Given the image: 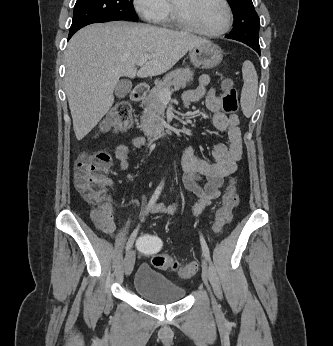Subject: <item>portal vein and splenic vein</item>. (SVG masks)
Returning <instances> with one entry per match:
<instances>
[{
    "mask_svg": "<svg viewBox=\"0 0 333 346\" xmlns=\"http://www.w3.org/2000/svg\"><path fill=\"white\" fill-rule=\"evenodd\" d=\"M151 55L145 54L141 57V59L136 63L137 66H143L149 59ZM173 90H163L159 93V97L161 100L170 99Z\"/></svg>",
    "mask_w": 333,
    "mask_h": 346,
    "instance_id": "1",
    "label": "portal vein and splenic vein"
}]
</instances>
